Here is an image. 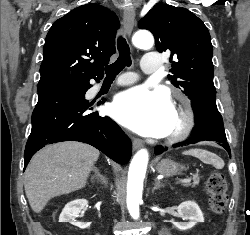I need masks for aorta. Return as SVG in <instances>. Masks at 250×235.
<instances>
[{
	"mask_svg": "<svg viewBox=\"0 0 250 235\" xmlns=\"http://www.w3.org/2000/svg\"><path fill=\"white\" fill-rule=\"evenodd\" d=\"M133 44L141 49H150L154 44V38L148 31H138L132 38ZM149 155L146 149L139 150L133 157L127 182V207L130 215L138 219L139 204L142 200L143 180L145 177Z\"/></svg>",
	"mask_w": 250,
	"mask_h": 235,
	"instance_id": "1",
	"label": "aorta"
}]
</instances>
